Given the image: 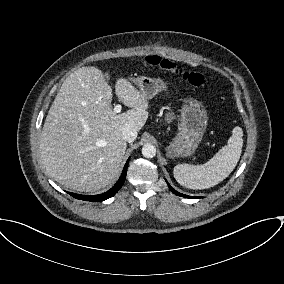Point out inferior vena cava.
<instances>
[{
	"instance_id": "602c4592",
	"label": "inferior vena cava",
	"mask_w": 284,
	"mask_h": 284,
	"mask_svg": "<svg viewBox=\"0 0 284 284\" xmlns=\"http://www.w3.org/2000/svg\"><path fill=\"white\" fill-rule=\"evenodd\" d=\"M122 137L125 141L131 143L137 137V130L131 126H127L122 130Z\"/></svg>"
}]
</instances>
